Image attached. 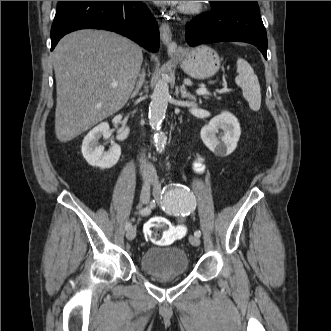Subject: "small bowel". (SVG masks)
<instances>
[{
  "mask_svg": "<svg viewBox=\"0 0 331 331\" xmlns=\"http://www.w3.org/2000/svg\"><path fill=\"white\" fill-rule=\"evenodd\" d=\"M194 170L198 173H202L204 171V164L202 159H197L193 164Z\"/></svg>",
  "mask_w": 331,
  "mask_h": 331,
  "instance_id": "small-bowel-1",
  "label": "small bowel"
}]
</instances>
